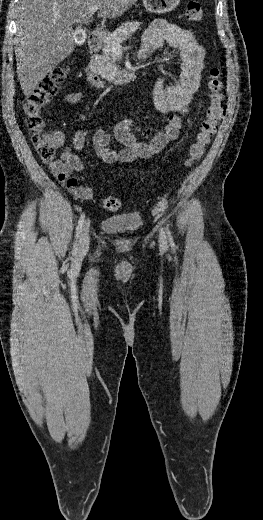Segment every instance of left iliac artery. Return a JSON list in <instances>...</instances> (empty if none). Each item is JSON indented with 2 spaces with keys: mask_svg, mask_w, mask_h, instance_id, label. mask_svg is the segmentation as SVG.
Returning <instances> with one entry per match:
<instances>
[{
  "mask_svg": "<svg viewBox=\"0 0 263 520\" xmlns=\"http://www.w3.org/2000/svg\"><path fill=\"white\" fill-rule=\"evenodd\" d=\"M166 232L168 234V238H169V241H170L171 245L174 246L173 237H172L171 232H170L168 227H166Z\"/></svg>",
  "mask_w": 263,
  "mask_h": 520,
  "instance_id": "1",
  "label": "left iliac artery"
}]
</instances>
